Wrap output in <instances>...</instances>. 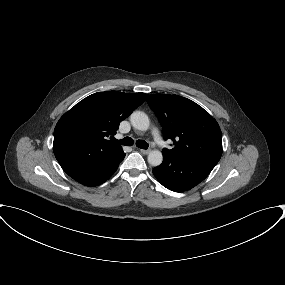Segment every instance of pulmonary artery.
Returning <instances> with one entry per match:
<instances>
[{
  "mask_svg": "<svg viewBox=\"0 0 285 285\" xmlns=\"http://www.w3.org/2000/svg\"><path fill=\"white\" fill-rule=\"evenodd\" d=\"M152 136L158 145L164 146L165 142H164V140H163V138H162V136H161V134L157 128H154L152 130Z\"/></svg>",
  "mask_w": 285,
  "mask_h": 285,
  "instance_id": "e3ab8cb5",
  "label": "pulmonary artery"
}]
</instances>
